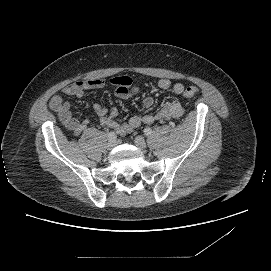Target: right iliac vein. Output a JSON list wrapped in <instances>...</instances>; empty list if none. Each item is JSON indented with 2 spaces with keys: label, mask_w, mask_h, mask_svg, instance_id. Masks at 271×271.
<instances>
[{
  "label": "right iliac vein",
  "mask_w": 271,
  "mask_h": 271,
  "mask_svg": "<svg viewBox=\"0 0 271 271\" xmlns=\"http://www.w3.org/2000/svg\"><path fill=\"white\" fill-rule=\"evenodd\" d=\"M115 145H116V141H109L107 143V149L111 150V149H113L115 147Z\"/></svg>",
  "instance_id": "obj_1"
}]
</instances>
